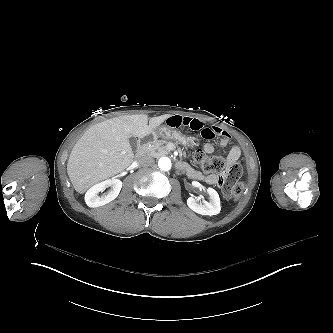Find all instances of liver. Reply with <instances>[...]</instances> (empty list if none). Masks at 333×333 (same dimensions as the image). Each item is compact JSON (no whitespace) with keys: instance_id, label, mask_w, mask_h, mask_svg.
<instances>
[{"instance_id":"obj_1","label":"liver","mask_w":333,"mask_h":333,"mask_svg":"<svg viewBox=\"0 0 333 333\" xmlns=\"http://www.w3.org/2000/svg\"><path fill=\"white\" fill-rule=\"evenodd\" d=\"M170 114L152 117L123 115L91 126L74 145L67 173L74 189L83 194L92 185L124 171L134 153L129 139L151 134Z\"/></svg>"}]
</instances>
